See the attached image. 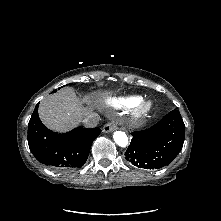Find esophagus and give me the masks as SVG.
<instances>
[{
	"label": "esophagus",
	"instance_id": "1",
	"mask_svg": "<svg viewBox=\"0 0 221 221\" xmlns=\"http://www.w3.org/2000/svg\"><path fill=\"white\" fill-rule=\"evenodd\" d=\"M117 127H118L117 121L112 119L103 126L102 130L104 133H109V132L116 130Z\"/></svg>",
	"mask_w": 221,
	"mask_h": 221
}]
</instances>
